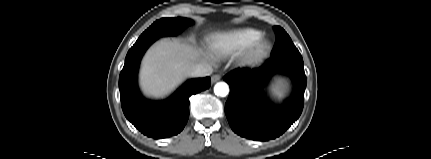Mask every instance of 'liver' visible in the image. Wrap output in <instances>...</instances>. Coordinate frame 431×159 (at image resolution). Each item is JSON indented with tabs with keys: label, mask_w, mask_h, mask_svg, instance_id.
<instances>
[{
	"label": "liver",
	"mask_w": 431,
	"mask_h": 159,
	"mask_svg": "<svg viewBox=\"0 0 431 159\" xmlns=\"http://www.w3.org/2000/svg\"><path fill=\"white\" fill-rule=\"evenodd\" d=\"M202 63L206 62L201 49L178 40H160L142 61L141 88L147 96L164 97L190 75L195 65Z\"/></svg>",
	"instance_id": "obj_1"
}]
</instances>
